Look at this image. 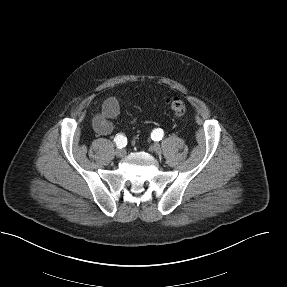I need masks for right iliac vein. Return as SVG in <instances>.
Segmentation results:
<instances>
[{"mask_svg":"<svg viewBox=\"0 0 287 287\" xmlns=\"http://www.w3.org/2000/svg\"><path fill=\"white\" fill-rule=\"evenodd\" d=\"M126 154L125 149H116L115 155L119 158L124 157Z\"/></svg>","mask_w":287,"mask_h":287,"instance_id":"right-iliac-vein-1","label":"right iliac vein"}]
</instances>
